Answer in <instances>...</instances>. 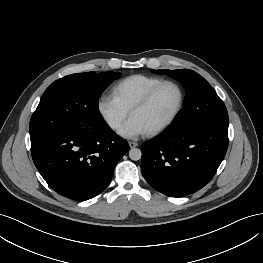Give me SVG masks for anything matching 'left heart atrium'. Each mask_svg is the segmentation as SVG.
<instances>
[{"label":"left heart atrium","instance_id":"obj_1","mask_svg":"<svg viewBox=\"0 0 263 263\" xmlns=\"http://www.w3.org/2000/svg\"><path fill=\"white\" fill-rule=\"evenodd\" d=\"M148 131L140 123V121L134 117H131L126 121L119 129V134L125 138H136L140 135L146 134Z\"/></svg>","mask_w":263,"mask_h":263}]
</instances>
